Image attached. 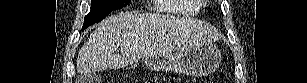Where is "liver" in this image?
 <instances>
[{
  "instance_id": "obj_1",
  "label": "liver",
  "mask_w": 307,
  "mask_h": 83,
  "mask_svg": "<svg viewBox=\"0 0 307 83\" xmlns=\"http://www.w3.org/2000/svg\"><path fill=\"white\" fill-rule=\"evenodd\" d=\"M218 31L196 19L120 13L101 21L77 58V72L89 75L118 69L150 55H168L200 43H211ZM121 49V53L115 52Z\"/></svg>"
}]
</instances>
